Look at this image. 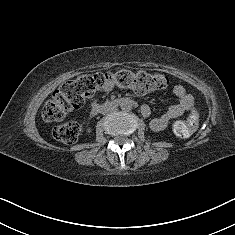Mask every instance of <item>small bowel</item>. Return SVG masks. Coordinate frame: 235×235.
I'll return each mask as SVG.
<instances>
[{"label":"small bowel","instance_id":"small-bowel-1","mask_svg":"<svg viewBox=\"0 0 235 235\" xmlns=\"http://www.w3.org/2000/svg\"><path fill=\"white\" fill-rule=\"evenodd\" d=\"M112 88L113 87L110 86L106 88V91H109ZM173 93L177 97V102L172 104L166 112L157 116L150 122V126L153 130H163L172 119L179 117L191 107L193 103V97L186 91L183 86L175 85L173 87ZM141 113L143 114V116H149L151 114L150 107L148 105H143L141 107Z\"/></svg>","mask_w":235,"mask_h":235}]
</instances>
